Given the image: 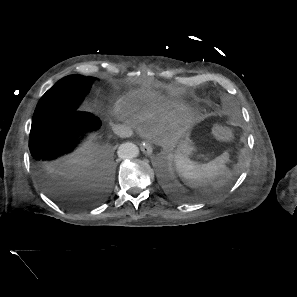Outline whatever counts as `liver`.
Masks as SVG:
<instances>
[{
  "mask_svg": "<svg viewBox=\"0 0 297 297\" xmlns=\"http://www.w3.org/2000/svg\"><path fill=\"white\" fill-rule=\"evenodd\" d=\"M82 150L78 151L73 159L72 162L76 163L79 161V157L81 154ZM88 172L84 171V170H80V169H73L71 172L66 174V178L68 180H71L72 182L70 183L71 185H76V186H82L83 185V181L88 177Z\"/></svg>",
  "mask_w": 297,
  "mask_h": 297,
  "instance_id": "liver-1",
  "label": "liver"
}]
</instances>
